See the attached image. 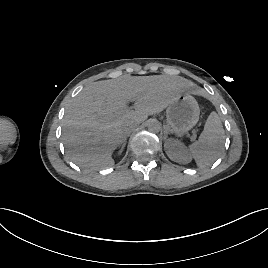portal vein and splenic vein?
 <instances>
[{
  "label": "portal vein and splenic vein",
  "instance_id": "obj_1",
  "mask_svg": "<svg viewBox=\"0 0 268 268\" xmlns=\"http://www.w3.org/2000/svg\"><path fill=\"white\" fill-rule=\"evenodd\" d=\"M131 101H133V100L131 99ZM130 109H131V107H126V108L122 111V113L128 112Z\"/></svg>",
  "mask_w": 268,
  "mask_h": 268
}]
</instances>
